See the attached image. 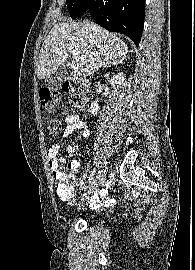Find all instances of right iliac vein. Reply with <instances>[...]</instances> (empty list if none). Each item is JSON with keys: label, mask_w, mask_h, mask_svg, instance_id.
Returning a JSON list of instances; mask_svg holds the SVG:
<instances>
[{"label": "right iliac vein", "mask_w": 195, "mask_h": 270, "mask_svg": "<svg viewBox=\"0 0 195 270\" xmlns=\"http://www.w3.org/2000/svg\"><path fill=\"white\" fill-rule=\"evenodd\" d=\"M106 172H107L106 167L101 166L96 178L94 179L89 188L88 194L94 192L101 184H103ZM88 194H84L81 200L82 201L86 200L88 198Z\"/></svg>", "instance_id": "right-iliac-vein-1"}]
</instances>
